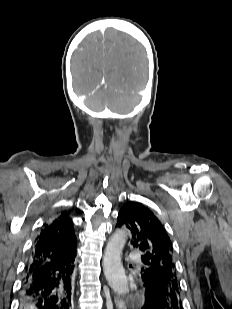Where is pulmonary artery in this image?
<instances>
[{"label": "pulmonary artery", "mask_w": 232, "mask_h": 309, "mask_svg": "<svg viewBox=\"0 0 232 309\" xmlns=\"http://www.w3.org/2000/svg\"><path fill=\"white\" fill-rule=\"evenodd\" d=\"M131 258L134 259V260H139V255L137 252H132L130 254Z\"/></svg>", "instance_id": "pulmonary-artery-1"}]
</instances>
